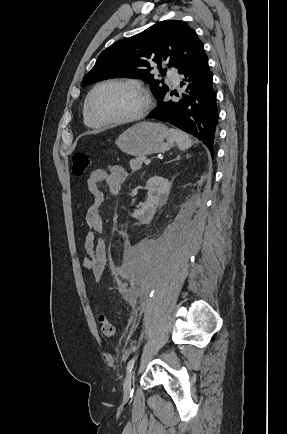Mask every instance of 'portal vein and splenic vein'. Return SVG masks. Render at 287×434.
I'll return each instance as SVG.
<instances>
[{"instance_id": "1", "label": "portal vein and splenic vein", "mask_w": 287, "mask_h": 434, "mask_svg": "<svg viewBox=\"0 0 287 434\" xmlns=\"http://www.w3.org/2000/svg\"><path fill=\"white\" fill-rule=\"evenodd\" d=\"M144 163H145V165H149L150 164V159H144Z\"/></svg>"}]
</instances>
